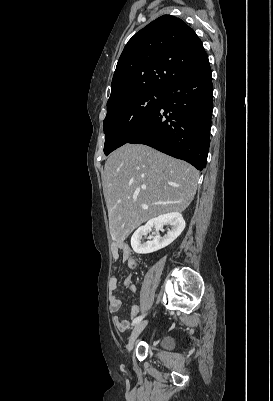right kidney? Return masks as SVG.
<instances>
[{
	"label": "right kidney",
	"instance_id": "obj_1",
	"mask_svg": "<svg viewBox=\"0 0 273 401\" xmlns=\"http://www.w3.org/2000/svg\"><path fill=\"white\" fill-rule=\"evenodd\" d=\"M164 225H171V229L168 231L167 235L161 237L160 233H157L153 241L142 243L141 239L143 235H145V233H150L152 227H154L156 231H162ZM184 229L185 221L180 213H167V215H160V217H156V219H150L145 227H139V229L135 231L134 235L131 237V247L135 253H140V255L155 253V251L164 249V247L173 243V241L181 235Z\"/></svg>",
	"mask_w": 273,
	"mask_h": 401
}]
</instances>
